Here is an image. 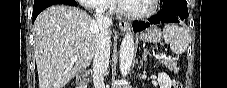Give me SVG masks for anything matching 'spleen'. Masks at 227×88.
Masks as SVG:
<instances>
[{
  "mask_svg": "<svg viewBox=\"0 0 227 88\" xmlns=\"http://www.w3.org/2000/svg\"><path fill=\"white\" fill-rule=\"evenodd\" d=\"M165 43L170 45V49L175 54L184 53L189 46V32L176 24H167L163 28Z\"/></svg>",
  "mask_w": 227,
  "mask_h": 88,
  "instance_id": "3e777b00",
  "label": "spleen"
}]
</instances>
